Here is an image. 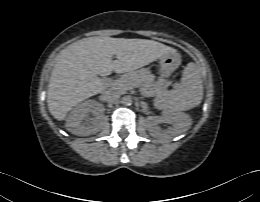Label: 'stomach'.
<instances>
[{"label": "stomach", "instance_id": "obj_1", "mask_svg": "<svg viewBox=\"0 0 260 202\" xmlns=\"http://www.w3.org/2000/svg\"><path fill=\"white\" fill-rule=\"evenodd\" d=\"M160 74L162 77H168L176 70L180 64V58L176 53H168L159 58Z\"/></svg>", "mask_w": 260, "mask_h": 202}]
</instances>
